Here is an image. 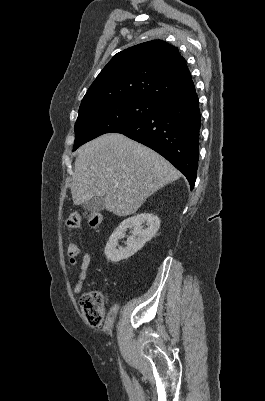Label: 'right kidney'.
Segmentation results:
<instances>
[{
    "mask_svg": "<svg viewBox=\"0 0 265 401\" xmlns=\"http://www.w3.org/2000/svg\"><path fill=\"white\" fill-rule=\"evenodd\" d=\"M144 223L148 225L147 229H143ZM159 227L160 219L156 215H151V213H142V215H135V217L125 219L112 233L105 247L107 261L109 263H118L123 259H129L134 253L140 251L147 241H151ZM127 229H133L132 237H128L126 241L127 247L125 249H121V247L116 249L119 239H124Z\"/></svg>",
    "mask_w": 265,
    "mask_h": 401,
    "instance_id": "right-kidney-1",
    "label": "right kidney"
}]
</instances>
